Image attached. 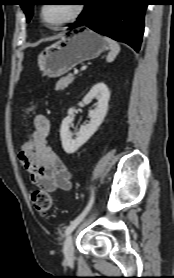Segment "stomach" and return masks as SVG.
Masks as SVG:
<instances>
[{
  "label": "stomach",
  "instance_id": "0dacf381",
  "mask_svg": "<svg viewBox=\"0 0 174 278\" xmlns=\"http://www.w3.org/2000/svg\"><path fill=\"white\" fill-rule=\"evenodd\" d=\"M106 48L100 35L87 28L79 29L46 47L38 55V66L45 76L60 77L76 65L98 57Z\"/></svg>",
  "mask_w": 174,
  "mask_h": 278
}]
</instances>
